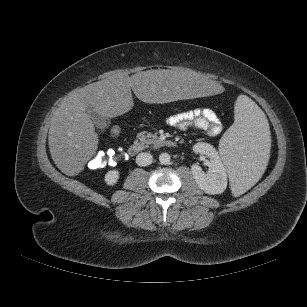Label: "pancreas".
Returning a JSON list of instances; mask_svg holds the SVG:
<instances>
[{"instance_id": "cf45deb5", "label": "pancreas", "mask_w": 307, "mask_h": 307, "mask_svg": "<svg viewBox=\"0 0 307 307\" xmlns=\"http://www.w3.org/2000/svg\"><path fill=\"white\" fill-rule=\"evenodd\" d=\"M137 139L141 145L144 147L148 145H161L162 141L158 138L156 134H152L150 132H140L137 134Z\"/></svg>"}]
</instances>
